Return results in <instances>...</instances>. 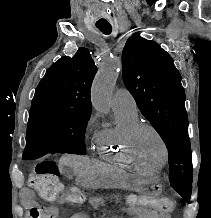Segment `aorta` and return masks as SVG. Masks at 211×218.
Wrapping results in <instances>:
<instances>
[{"mask_svg": "<svg viewBox=\"0 0 211 218\" xmlns=\"http://www.w3.org/2000/svg\"><path fill=\"white\" fill-rule=\"evenodd\" d=\"M121 69V61L108 59L98 70L92 85L91 101L93 107L102 114L110 111L113 87Z\"/></svg>", "mask_w": 211, "mask_h": 218, "instance_id": "aorta-1", "label": "aorta"}]
</instances>
